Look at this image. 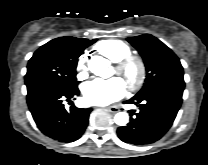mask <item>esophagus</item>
<instances>
[{"label":"esophagus","instance_id":"34e87169","mask_svg":"<svg viewBox=\"0 0 208 165\" xmlns=\"http://www.w3.org/2000/svg\"><path fill=\"white\" fill-rule=\"evenodd\" d=\"M108 112L117 113L119 109L117 107H105Z\"/></svg>","mask_w":208,"mask_h":165}]
</instances>
